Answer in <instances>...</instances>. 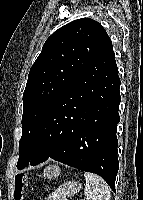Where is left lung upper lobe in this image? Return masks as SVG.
<instances>
[{"label":"left lung upper lobe","instance_id":"left-lung-upper-lobe-1","mask_svg":"<svg viewBox=\"0 0 143 200\" xmlns=\"http://www.w3.org/2000/svg\"><path fill=\"white\" fill-rule=\"evenodd\" d=\"M110 42L104 28L89 18L66 24L46 40L30 69L23 93V132L19 141L18 169L25 168L33 156L37 133L45 114ZM64 111L59 112V118Z\"/></svg>","mask_w":143,"mask_h":200}]
</instances>
